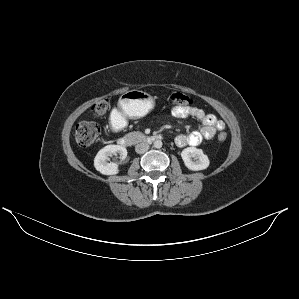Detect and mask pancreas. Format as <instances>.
<instances>
[{
    "label": "pancreas",
    "mask_w": 299,
    "mask_h": 299,
    "mask_svg": "<svg viewBox=\"0 0 299 299\" xmlns=\"http://www.w3.org/2000/svg\"><path fill=\"white\" fill-rule=\"evenodd\" d=\"M129 136L136 139V141L142 140L145 138V135L142 132H131V133H129Z\"/></svg>",
    "instance_id": "obj_1"
}]
</instances>
